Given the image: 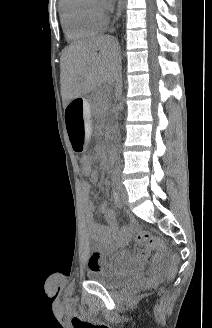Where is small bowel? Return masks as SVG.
Returning <instances> with one entry per match:
<instances>
[{
	"label": "small bowel",
	"mask_w": 212,
	"mask_h": 328,
	"mask_svg": "<svg viewBox=\"0 0 212 328\" xmlns=\"http://www.w3.org/2000/svg\"><path fill=\"white\" fill-rule=\"evenodd\" d=\"M82 175L90 178L93 183L98 182L99 174L97 171L90 170L86 172L81 170ZM82 198L85 204L86 225L90 235L100 242L101 249L107 254H113L111 262L103 264L102 260L97 265H90L91 270L109 269L117 272H129L140 268L147 260L149 249L139 246L133 253H115L116 250L128 239L132 238L134 224L124 226L122 229L116 224L117 214L105 203L96 205L90 200L91 185L84 181L81 184ZM116 203L118 198L114 194ZM100 213L107 222V225H101L94 219V215Z\"/></svg>",
	"instance_id": "1"
}]
</instances>
